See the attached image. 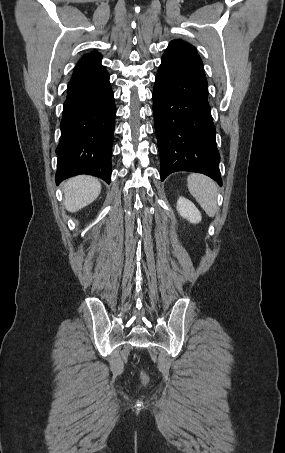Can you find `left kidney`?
Returning <instances> with one entry per match:
<instances>
[{"instance_id": "left-kidney-1", "label": "left kidney", "mask_w": 285, "mask_h": 453, "mask_svg": "<svg viewBox=\"0 0 285 453\" xmlns=\"http://www.w3.org/2000/svg\"><path fill=\"white\" fill-rule=\"evenodd\" d=\"M176 207L179 214L190 223L196 224L201 221V213L190 200L179 197Z\"/></svg>"}]
</instances>
